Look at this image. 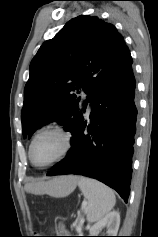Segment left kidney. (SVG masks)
Returning a JSON list of instances; mask_svg holds the SVG:
<instances>
[{"mask_svg":"<svg viewBox=\"0 0 158 237\" xmlns=\"http://www.w3.org/2000/svg\"><path fill=\"white\" fill-rule=\"evenodd\" d=\"M120 225V214L112 211L90 228V236H117ZM103 229L106 234L99 235Z\"/></svg>","mask_w":158,"mask_h":237,"instance_id":"5707ae66","label":"left kidney"}]
</instances>
